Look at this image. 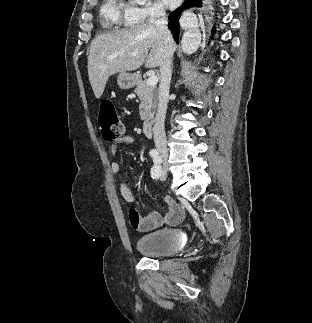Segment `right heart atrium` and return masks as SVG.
Here are the masks:
<instances>
[{
	"label": "right heart atrium",
	"instance_id": "right-heart-atrium-1",
	"mask_svg": "<svg viewBox=\"0 0 312 323\" xmlns=\"http://www.w3.org/2000/svg\"><path fill=\"white\" fill-rule=\"evenodd\" d=\"M122 17H128L129 22H152V17H165V6L157 2H139L138 6H129L122 10Z\"/></svg>",
	"mask_w": 312,
	"mask_h": 323
}]
</instances>
